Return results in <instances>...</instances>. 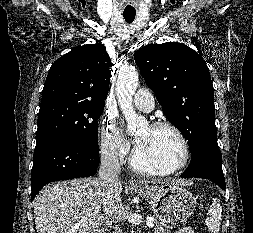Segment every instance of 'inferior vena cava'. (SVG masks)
Segmentation results:
<instances>
[{"mask_svg": "<svg viewBox=\"0 0 253 233\" xmlns=\"http://www.w3.org/2000/svg\"><path fill=\"white\" fill-rule=\"evenodd\" d=\"M120 171L118 154L114 146L102 149L99 182L102 189L103 207L106 216L115 223L122 219L120 180L118 178Z\"/></svg>", "mask_w": 253, "mask_h": 233, "instance_id": "inferior-vena-cava-1", "label": "inferior vena cava"}]
</instances>
